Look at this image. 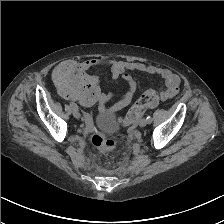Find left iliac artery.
<instances>
[{
	"mask_svg": "<svg viewBox=\"0 0 224 224\" xmlns=\"http://www.w3.org/2000/svg\"><path fill=\"white\" fill-rule=\"evenodd\" d=\"M146 119H147V121H148L149 124L152 122V118H151V116H147Z\"/></svg>",
	"mask_w": 224,
	"mask_h": 224,
	"instance_id": "left-iliac-artery-1",
	"label": "left iliac artery"
}]
</instances>
